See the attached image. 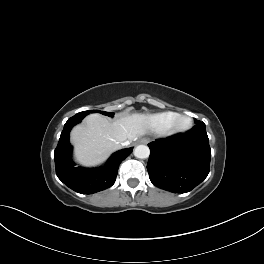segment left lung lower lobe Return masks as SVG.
I'll use <instances>...</instances> for the list:
<instances>
[{
	"mask_svg": "<svg viewBox=\"0 0 264 264\" xmlns=\"http://www.w3.org/2000/svg\"><path fill=\"white\" fill-rule=\"evenodd\" d=\"M147 170L151 182L161 189L186 193L199 185L210 170L211 149L205 124L148 144Z\"/></svg>",
	"mask_w": 264,
	"mask_h": 264,
	"instance_id": "1",
	"label": "left lung lower lobe"
}]
</instances>
